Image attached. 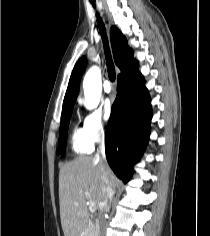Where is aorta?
Returning <instances> with one entry per match:
<instances>
[{
  "label": "aorta",
  "mask_w": 210,
  "mask_h": 236,
  "mask_svg": "<svg viewBox=\"0 0 210 236\" xmlns=\"http://www.w3.org/2000/svg\"><path fill=\"white\" fill-rule=\"evenodd\" d=\"M83 90L86 108H96L99 105L102 92L101 71L99 67L92 66L87 71L83 80Z\"/></svg>",
  "instance_id": "obj_1"
}]
</instances>
